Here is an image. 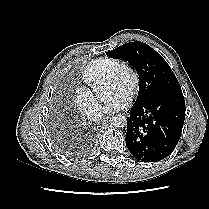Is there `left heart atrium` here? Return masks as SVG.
Segmentation results:
<instances>
[{
  "label": "left heart atrium",
  "instance_id": "39dd6f15",
  "mask_svg": "<svg viewBox=\"0 0 209 209\" xmlns=\"http://www.w3.org/2000/svg\"><path fill=\"white\" fill-rule=\"evenodd\" d=\"M129 103V96L124 92H115L104 105L103 114H109L114 111L125 108Z\"/></svg>",
  "mask_w": 209,
  "mask_h": 209
}]
</instances>
